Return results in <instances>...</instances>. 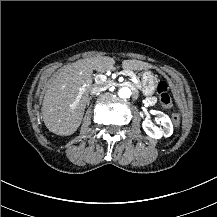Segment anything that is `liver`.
<instances>
[{"label": "liver", "instance_id": "obj_1", "mask_svg": "<svg viewBox=\"0 0 217 217\" xmlns=\"http://www.w3.org/2000/svg\"><path fill=\"white\" fill-rule=\"evenodd\" d=\"M115 60L108 56L81 59L57 71L44 94L41 117L46 128L58 136L73 135L81 125L92 72L113 71ZM125 71L141 72L154 66L141 60H122ZM80 94L78 102L73 106Z\"/></svg>", "mask_w": 217, "mask_h": 217}]
</instances>
